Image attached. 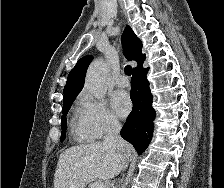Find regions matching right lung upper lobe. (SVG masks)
<instances>
[{"instance_id":"obj_1","label":"right lung upper lobe","mask_w":224,"mask_h":188,"mask_svg":"<svg viewBox=\"0 0 224 188\" xmlns=\"http://www.w3.org/2000/svg\"><path fill=\"white\" fill-rule=\"evenodd\" d=\"M122 45L124 48V54L128 60H134L138 63V66L133 70H136L142 67L143 61L145 59V54H142V42L135 35L130 26H127L122 34ZM92 61V56L87 55L82 57L75 67L71 70L68 75L67 83L64 87V97L63 101L74 96L78 95L82 90L84 85V78L86 70L89 64Z\"/></svg>"}]
</instances>
